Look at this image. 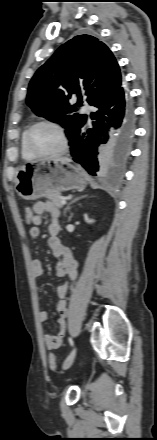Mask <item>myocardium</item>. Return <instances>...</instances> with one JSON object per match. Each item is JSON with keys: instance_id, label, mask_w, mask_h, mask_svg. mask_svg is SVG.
Listing matches in <instances>:
<instances>
[{"instance_id": "f54148a6", "label": "myocardium", "mask_w": 157, "mask_h": 440, "mask_svg": "<svg viewBox=\"0 0 157 440\" xmlns=\"http://www.w3.org/2000/svg\"><path fill=\"white\" fill-rule=\"evenodd\" d=\"M41 125L51 126L58 131V133L61 137V141H62V144H61V147L59 150H57L53 153H40L33 148L32 143H31L32 133L38 126H41ZM26 145H27V148L29 149V151L32 154H34L35 156H39V157L59 156V155H62L67 152V150L69 148V138H68L67 132L62 124H60L59 122H56L54 120L43 119V120H39V121L35 122L34 124H32L29 127L27 134H26Z\"/></svg>"}]
</instances>
